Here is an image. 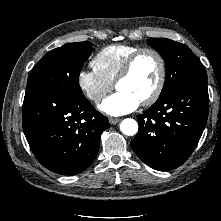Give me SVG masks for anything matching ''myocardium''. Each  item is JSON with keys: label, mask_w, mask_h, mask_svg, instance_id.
<instances>
[{"label": "myocardium", "mask_w": 221, "mask_h": 221, "mask_svg": "<svg viewBox=\"0 0 221 221\" xmlns=\"http://www.w3.org/2000/svg\"><path fill=\"white\" fill-rule=\"evenodd\" d=\"M145 53L153 54L159 63V77L156 87L154 88L153 92L145 100L141 102L142 105L149 106L154 104L161 96L163 89L165 87L166 75H167L166 61L163 55L155 48L143 47L133 52L126 59L123 67L121 68L119 74L117 75L115 80V87L117 88L118 84L131 74L136 61L139 59L141 55Z\"/></svg>", "instance_id": "f54148a6"}]
</instances>
